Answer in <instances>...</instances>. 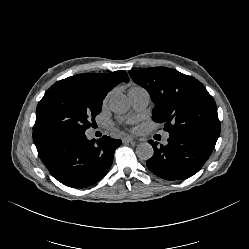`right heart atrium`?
Returning a JSON list of instances; mask_svg holds the SVG:
<instances>
[{
	"instance_id": "obj_1",
	"label": "right heart atrium",
	"mask_w": 249,
	"mask_h": 249,
	"mask_svg": "<svg viewBox=\"0 0 249 249\" xmlns=\"http://www.w3.org/2000/svg\"><path fill=\"white\" fill-rule=\"evenodd\" d=\"M112 93H113V90H111V91H109L107 94H106V96H105V98H104V103H106L108 100H109V98H110V96L112 95Z\"/></svg>"
}]
</instances>
